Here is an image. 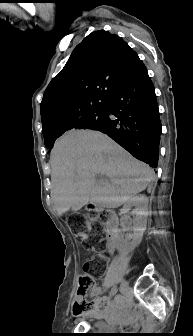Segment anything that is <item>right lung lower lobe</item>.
<instances>
[{"label": "right lung lower lobe", "mask_w": 193, "mask_h": 336, "mask_svg": "<svg viewBox=\"0 0 193 336\" xmlns=\"http://www.w3.org/2000/svg\"><path fill=\"white\" fill-rule=\"evenodd\" d=\"M106 111L107 122L98 131L156 168L161 123L155 90L142 61L122 81L108 101Z\"/></svg>", "instance_id": "1"}]
</instances>
